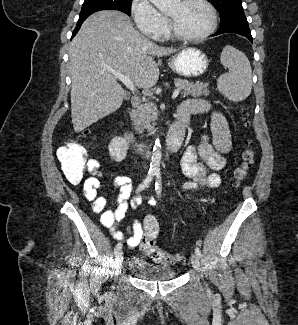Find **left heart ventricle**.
Instances as JSON below:
<instances>
[{"mask_svg": "<svg viewBox=\"0 0 298 325\" xmlns=\"http://www.w3.org/2000/svg\"><path fill=\"white\" fill-rule=\"evenodd\" d=\"M161 8L171 16L175 28L185 36L203 32L209 22L206 10L193 0L162 1Z\"/></svg>", "mask_w": 298, "mask_h": 325, "instance_id": "1", "label": "left heart ventricle"}]
</instances>
